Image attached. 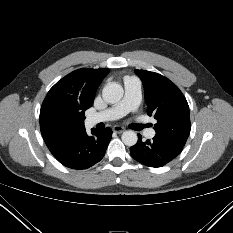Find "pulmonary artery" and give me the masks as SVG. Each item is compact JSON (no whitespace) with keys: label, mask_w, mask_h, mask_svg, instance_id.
<instances>
[{"label":"pulmonary artery","mask_w":233,"mask_h":233,"mask_svg":"<svg viewBox=\"0 0 233 233\" xmlns=\"http://www.w3.org/2000/svg\"><path fill=\"white\" fill-rule=\"evenodd\" d=\"M124 89V96L119 103L107 110L89 116L87 123L95 125L100 122L116 120L136 110L141 100V82L139 78L126 77L124 79ZM145 134L147 137L152 138L155 135V130L149 128L145 131Z\"/></svg>","instance_id":"obj_1"}]
</instances>
